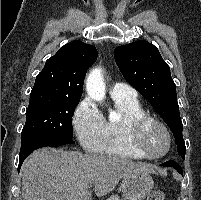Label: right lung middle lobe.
Segmentation results:
<instances>
[{
    "label": "right lung middle lobe",
    "instance_id": "dd1d6c3e",
    "mask_svg": "<svg viewBox=\"0 0 201 200\" xmlns=\"http://www.w3.org/2000/svg\"><path fill=\"white\" fill-rule=\"evenodd\" d=\"M80 98L31 93L21 136L45 133L72 139V117Z\"/></svg>",
    "mask_w": 201,
    "mask_h": 200
}]
</instances>
